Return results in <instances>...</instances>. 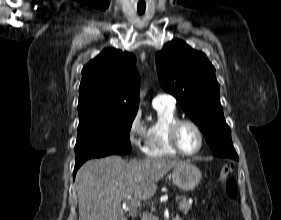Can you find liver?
I'll list each match as a JSON object with an SVG mask.
<instances>
[{"mask_svg":"<svg viewBox=\"0 0 281 220\" xmlns=\"http://www.w3.org/2000/svg\"><path fill=\"white\" fill-rule=\"evenodd\" d=\"M188 163L170 159L127 162L117 155L87 161L75 179L79 220H127L122 200L128 195L139 201L150 199L168 171Z\"/></svg>","mask_w":281,"mask_h":220,"instance_id":"liver-1","label":"liver"}]
</instances>
